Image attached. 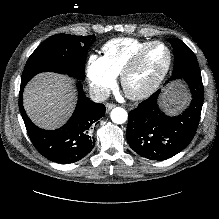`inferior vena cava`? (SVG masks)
Instances as JSON below:
<instances>
[{"label": "inferior vena cava", "mask_w": 219, "mask_h": 219, "mask_svg": "<svg viewBox=\"0 0 219 219\" xmlns=\"http://www.w3.org/2000/svg\"><path fill=\"white\" fill-rule=\"evenodd\" d=\"M90 98L92 101L101 103L108 99L110 95V91L106 88L100 86H92L90 87Z\"/></svg>", "instance_id": "obj_1"}]
</instances>
